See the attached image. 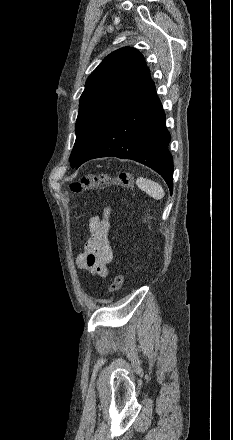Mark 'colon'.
I'll return each instance as SVG.
<instances>
[{
    "label": "colon",
    "instance_id": "5ec220e1",
    "mask_svg": "<svg viewBox=\"0 0 233 440\" xmlns=\"http://www.w3.org/2000/svg\"><path fill=\"white\" fill-rule=\"evenodd\" d=\"M116 185L132 188L133 179L128 173L125 172H120L115 175L100 174L96 176L83 177L78 181H74L70 184V189L73 193L80 194L84 191L106 188ZM123 282L124 275L122 273H118L114 277L109 287V292L115 293L119 291L123 285Z\"/></svg>",
    "mask_w": 233,
    "mask_h": 440
}]
</instances>
